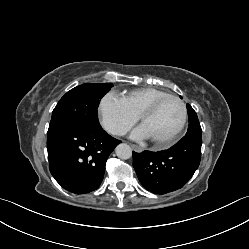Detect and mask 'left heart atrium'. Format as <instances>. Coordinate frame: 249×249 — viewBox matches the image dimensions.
<instances>
[{
  "mask_svg": "<svg viewBox=\"0 0 249 249\" xmlns=\"http://www.w3.org/2000/svg\"><path fill=\"white\" fill-rule=\"evenodd\" d=\"M131 137L136 140H143V139L149 138L142 126H139L138 128H136L132 132Z\"/></svg>",
  "mask_w": 249,
  "mask_h": 249,
  "instance_id": "39dd6f15",
  "label": "left heart atrium"
}]
</instances>
